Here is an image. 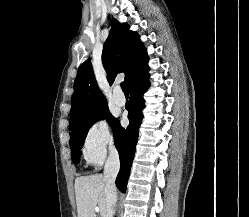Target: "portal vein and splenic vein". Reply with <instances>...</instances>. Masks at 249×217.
Wrapping results in <instances>:
<instances>
[{"label":"portal vein and splenic vein","instance_id":"obj_1","mask_svg":"<svg viewBox=\"0 0 249 217\" xmlns=\"http://www.w3.org/2000/svg\"><path fill=\"white\" fill-rule=\"evenodd\" d=\"M95 212H97V213L100 212L99 207H96V208H95Z\"/></svg>","mask_w":249,"mask_h":217}]
</instances>
